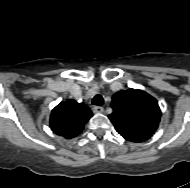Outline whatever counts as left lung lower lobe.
Wrapping results in <instances>:
<instances>
[{"mask_svg": "<svg viewBox=\"0 0 190 188\" xmlns=\"http://www.w3.org/2000/svg\"><path fill=\"white\" fill-rule=\"evenodd\" d=\"M117 132L123 136L126 140L132 142H144L148 140L151 136L144 134H137L126 130H117Z\"/></svg>", "mask_w": 190, "mask_h": 188, "instance_id": "0a47b994", "label": "left lung lower lobe"}]
</instances>
